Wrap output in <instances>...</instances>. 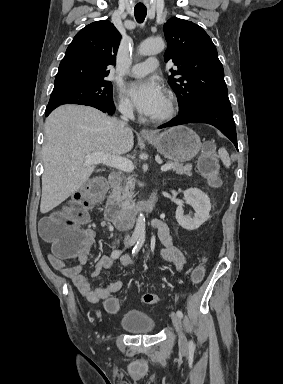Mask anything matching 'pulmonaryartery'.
Segmentation results:
<instances>
[{"mask_svg":"<svg viewBox=\"0 0 283 384\" xmlns=\"http://www.w3.org/2000/svg\"><path fill=\"white\" fill-rule=\"evenodd\" d=\"M157 61H146L144 63H137L128 70V75L132 77H141L147 75L151 71H155L157 68Z\"/></svg>","mask_w":283,"mask_h":384,"instance_id":"1","label":"pulmonary artery"}]
</instances>
